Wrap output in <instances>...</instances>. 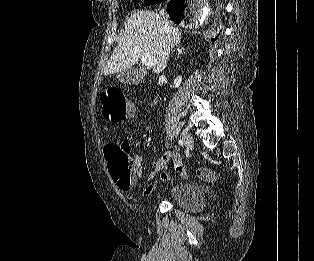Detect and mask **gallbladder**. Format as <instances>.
Returning a JSON list of instances; mask_svg holds the SVG:
<instances>
[{
	"label": "gallbladder",
	"mask_w": 314,
	"mask_h": 261,
	"mask_svg": "<svg viewBox=\"0 0 314 261\" xmlns=\"http://www.w3.org/2000/svg\"><path fill=\"white\" fill-rule=\"evenodd\" d=\"M145 74L146 70L143 68H131L120 72L117 79L123 84L137 85L144 79Z\"/></svg>",
	"instance_id": "gallbladder-1"
}]
</instances>
